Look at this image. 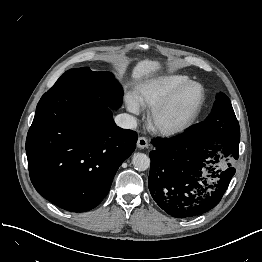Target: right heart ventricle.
Masks as SVG:
<instances>
[{
	"label": "right heart ventricle",
	"mask_w": 262,
	"mask_h": 262,
	"mask_svg": "<svg viewBox=\"0 0 262 262\" xmlns=\"http://www.w3.org/2000/svg\"><path fill=\"white\" fill-rule=\"evenodd\" d=\"M188 80H190L188 75L180 73L165 74L150 79L137 87L136 101L143 107H153Z\"/></svg>",
	"instance_id": "1"
}]
</instances>
